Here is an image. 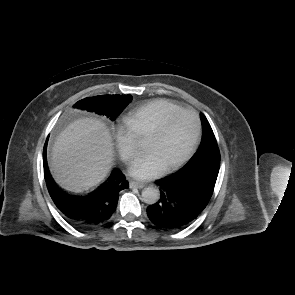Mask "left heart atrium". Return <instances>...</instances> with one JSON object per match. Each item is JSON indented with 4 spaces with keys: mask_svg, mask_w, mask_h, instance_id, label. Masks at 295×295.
I'll list each match as a JSON object with an SVG mask.
<instances>
[{
    "mask_svg": "<svg viewBox=\"0 0 295 295\" xmlns=\"http://www.w3.org/2000/svg\"><path fill=\"white\" fill-rule=\"evenodd\" d=\"M163 166L160 164L156 156L152 153H146L138 157L130 166V174L138 179H149L157 175Z\"/></svg>",
    "mask_w": 295,
    "mask_h": 295,
    "instance_id": "obj_1",
    "label": "left heart atrium"
}]
</instances>
